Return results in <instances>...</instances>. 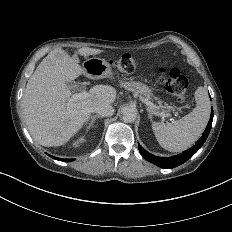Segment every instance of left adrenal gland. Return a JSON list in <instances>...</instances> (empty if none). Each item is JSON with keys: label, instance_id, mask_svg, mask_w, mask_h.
I'll return each instance as SVG.
<instances>
[{"label": "left adrenal gland", "instance_id": "obj_1", "mask_svg": "<svg viewBox=\"0 0 232 232\" xmlns=\"http://www.w3.org/2000/svg\"><path fill=\"white\" fill-rule=\"evenodd\" d=\"M151 115H152V113L148 111V116L150 119L152 118Z\"/></svg>", "mask_w": 232, "mask_h": 232}]
</instances>
